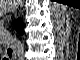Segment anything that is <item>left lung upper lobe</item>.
Wrapping results in <instances>:
<instances>
[{
	"label": "left lung upper lobe",
	"mask_w": 80,
	"mask_h": 60,
	"mask_svg": "<svg viewBox=\"0 0 80 60\" xmlns=\"http://www.w3.org/2000/svg\"><path fill=\"white\" fill-rule=\"evenodd\" d=\"M16 30L18 33L23 34V24L20 20H17L15 23Z\"/></svg>",
	"instance_id": "5c2ea615"
}]
</instances>
